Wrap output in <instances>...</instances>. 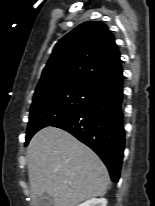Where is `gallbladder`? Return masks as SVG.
<instances>
[{
	"mask_svg": "<svg viewBox=\"0 0 155 206\" xmlns=\"http://www.w3.org/2000/svg\"><path fill=\"white\" fill-rule=\"evenodd\" d=\"M36 206H52V199L49 195L44 194L40 197Z\"/></svg>",
	"mask_w": 155,
	"mask_h": 206,
	"instance_id": "bac80fb5",
	"label": "gallbladder"
}]
</instances>
